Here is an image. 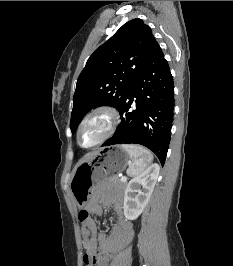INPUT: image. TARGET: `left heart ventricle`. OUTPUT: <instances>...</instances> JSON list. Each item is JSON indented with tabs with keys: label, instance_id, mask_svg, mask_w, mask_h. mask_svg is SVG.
Returning <instances> with one entry per match:
<instances>
[{
	"label": "left heart ventricle",
	"instance_id": "b2bd125f",
	"mask_svg": "<svg viewBox=\"0 0 233 266\" xmlns=\"http://www.w3.org/2000/svg\"><path fill=\"white\" fill-rule=\"evenodd\" d=\"M109 119L106 115H98L91 118L83 126L80 134L81 142L84 145H91L98 141L106 132Z\"/></svg>",
	"mask_w": 233,
	"mask_h": 266
}]
</instances>
